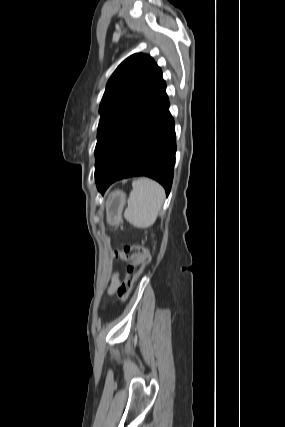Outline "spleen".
<instances>
[{"instance_id":"spleen-1","label":"spleen","mask_w":285,"mask_h":427,"mask_svg":"<svg viewBox=\"0 0 285 427\" xmlns=\"http://www.w3.org/2000/svg\"><path fill=\"white\" fill-rule=\"evenodd\" d=\"M132 185L124 217L137 228H148L155 223L161 210L165 198L164 189L148 178H139Z\"/></svg>"}]
</instances>
